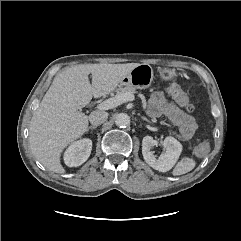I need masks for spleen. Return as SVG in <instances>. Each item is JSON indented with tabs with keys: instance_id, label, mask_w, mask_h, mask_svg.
Returning <instances> with one entry per match:
<instances>
[{
	"instance_id": "obj_1",
	"label": "spleen",
	"mask_w": 241,
	"mask_h": 241,
	"mask_svg": "<svg viewBox=\"0 0 241 241\" xmlns=\"http://www.w3.org/2000/svg\"><path fill=\"white\" fill-rule=\"evenodd\" d=\"M195 165H196V162L194 159L189 157H184L177 163V165L173 169L172 174L174 176L186 174L190 172L192 169H194Z\"/></svg>"
}]
</instances>
